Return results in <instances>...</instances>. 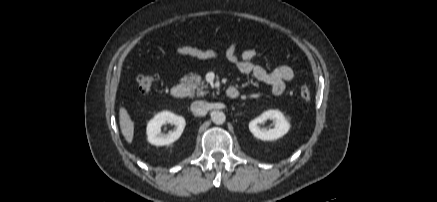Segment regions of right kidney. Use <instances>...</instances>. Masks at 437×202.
Returning a JSON list of instances; mask_svg holds the SVG:
<instances>
[{
  "label": "right kidney",
  "instance_id": "right-kidney-1",
  "mask_svg": "<svg viewBox=\"0 0 437 202\" xmlns=\"http://www.w3.org/2000/svg\"><path fill=\"white\" fill-rule=\"evenodd\" d=\"M166 123L174 125L175 128L168 134H163L161 133V127ZM185 125L186 122L182 116L175 115L169 111L158 113L147 125L148 141L156 146L169 145L179 139Z\"/></svg>",
  "mask_w": 437,
  "mask_h": 202
}]
</instances>
